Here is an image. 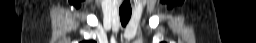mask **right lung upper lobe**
Wrapping results in <instances>:
<instances>
[{"instance_id":"cb5924a9","label":"right lung upper lobe","mask_w":256,"mask_h":43,"mask_svg":"<svg viewBox=\"0 0 256 43\" xmlns=\"http://www.w3.org/2000/svg\"><path fill=\"white\" fill-rule=\"evenodd\" d=\"M87 43V42H86ZM88 43H92V41H88Z\"/></svg>"}]
</instances>
